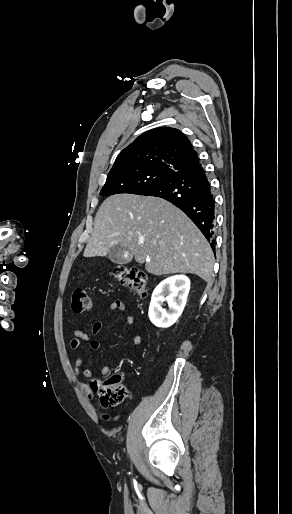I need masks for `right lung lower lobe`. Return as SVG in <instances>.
I'll return each instance as SVG.
<instances>
[{
    "mask_svg": "<svg viewBox=\"0 0 292 514\" xmlns=\"http://www.w3.org/2000/svg\"><path fill=\"white\" fill-rule=\"evenodd\" d=\"M143 195L163 198L180 208L215 250V199L200 163L172 174Z\"/></svg>",
    "mask_w": 292,
    "mask_h": 514,
    "instance_id": "1",
    "label": "right lung lower lobe"
}]
</instances>
